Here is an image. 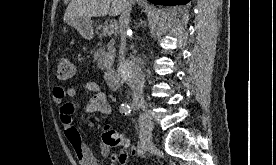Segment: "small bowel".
<instances>
[{
    "label": "small bowel",
    "instance_id": "c3829d8e",
    "mask_svg": "<svg viewBox=\"0 0 276 165\" xmlns=\"http://www.w3.org/2000/svg\"><path fill=\"white\" fill-rule=\"evenodd\" d=\"M80 90L88 95L85 111L90 114H111V105L108 102L101 86L95 81H86L78 86L64 87L56 86L52 92V100L58 108L59 121L66 140L72 147L81 165H99L93 150L82 140L77 128L73 125L72 116L76 111V104L67 99L76 97ZM101 155L108 160L110 165H126L128 153L124 150L110 152V147L103 141L98 145Z\"/></svg>",
    "mask_w": 276,
    "mask_h": 165
}]
</instances>
